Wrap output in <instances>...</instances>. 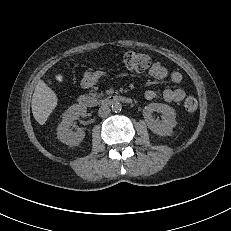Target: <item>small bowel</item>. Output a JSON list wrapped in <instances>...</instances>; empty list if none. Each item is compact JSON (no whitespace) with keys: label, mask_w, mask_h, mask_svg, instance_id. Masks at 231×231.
I'll use <instances>...</instances> for the list:
<instances>
[{"label":"small bowel","mask_w":231,"mask_h":231,"mask_svg":"<svg viewBox=\"0 0 231 231\" xmlns=\"http://www.w3.org/2000/svg\"><path fill=\"white\" fill-rule=\"evenodd\" d=\"M104 75L105 73L102 70L87 71L83 75L82 86L84 88L93 87L104 77ZM149 75L156 80H163L169 76L171 82L175 84L176 87L167 88L160 93L155 90H147L144 93L146 99L154 100L157 98H162L168 103H178L184 99L185 91L179 86L183 77L179 71L169 73L165 66L159 62H155L149 70Z\"/></svg>","instance_id":"c3829d8e"}]
</instances>
